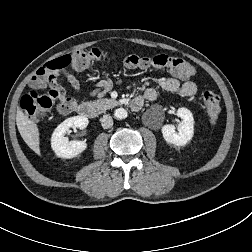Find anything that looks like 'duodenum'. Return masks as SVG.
<instances>
[{
  "label": "duodenum",
  "instance_id": "1",
  "mask_svg": "<svg viewBox=\"0 0 252 252\" xmlns=\"http://www.w3.org/2000/svg\"><path fill=\"white\" fill-rule=\"evenodd\" d=\"M134 111H138L143 106V99L141 97L134 98L130 103ZM76 112L79 116L85 118H95L98 114V109L94 103H82L77 106Z\"/></svg>",
  "mask_w": 252,
  "mask_h": 252
}]
</instances>
